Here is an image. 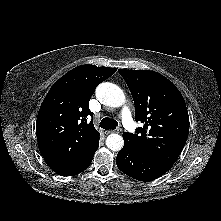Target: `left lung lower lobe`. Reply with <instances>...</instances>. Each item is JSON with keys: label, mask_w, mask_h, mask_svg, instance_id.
Here are the masks:
<instances>
[{"label": "left lung lower lobe", "mask_w": 221, "mask_h": 221, "mask_svg": "<svg viewBox=\"0 0 221 221\" xmlns=\"http://www.w3.org/2000/svg\"><path fill=\"white\" fill-rule=\"evenodd\" d=\"M116 162L123 173L145 182L162 176L171 168L138 152L126 141H124V146L117 155Z\"/></svg>", "instance_id": "0a47b994"}]
</instances>
